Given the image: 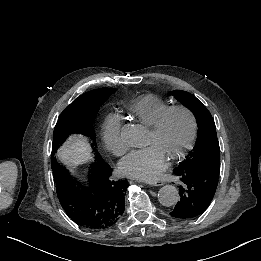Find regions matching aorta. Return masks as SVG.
I'll list each match as a JSON object with an SVG mask.
<instances>
[{
    "mask_svg": "<svg viewBox=\"0 0 261 261\" xmlns=\"http://www.w3.org/2000/svg\"><path fill=\"white\" fill-rule=\"evenodd\" d=\"M121 137L129 146L140 147L144 139V130L139 125L126 124L121 130ZM179 199V192L173 185H165L158 191V200L163 206H174Z\"/></svg>",
    "mask_w": 261,
    "mask_h": 261,
    "instance_id": "1",
    "label": "aorta"
}]
</instances>
